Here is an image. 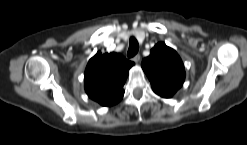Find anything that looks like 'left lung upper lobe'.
<instances>
[{"label": "left lung upper lobe", "mask_w": 247, "mask_h": 145, "mask_svg": "<svg viewBox=\"0 0 247 145\" xmlns=\"http://www.w3.org/2000/svg\"><path fill=\"white\" fill-rule=\"evenodd\" d=\"M142 68L148 76L153 91L171 97L182 86L185 70L177 52L165 43H157L150 55L143 59Z\"/></svg>", "instance_id": "5c2ea615"}]
</instances>
